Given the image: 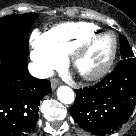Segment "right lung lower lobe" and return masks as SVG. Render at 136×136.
<instances>
[{"label":"right lung lower lobe","mask_w":136,"mask_h":136,"mask_svg":"<svg viewBox=\"0 0 136 136\" xmlns=\"http://www.w3.org/2000/svg\"><path fill=\"white\" fill-rule=\"evenodd\" d=\"M0 136H26L34 128L42 98L51 92L48 80L27 70V56L0 54Z\"/></svg>","instance_id":"right-lung-lower-lobe-1"}]
</instances>
